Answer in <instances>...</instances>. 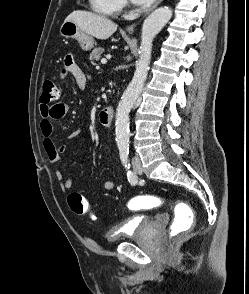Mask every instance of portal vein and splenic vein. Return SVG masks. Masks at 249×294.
Wrapping results in <instances>:
<instances>
[{"instance_id": "obj_1", "label": "portal vein and splenic vein", "mask_w": 249, "mask_h": 294, "mask_svg": "<svg viewBox=\"0 0 249 294\" xmlns=\"http://www.w3.org/2000/svg\"><path fill=\"white\" fill-rule=\"evenodd\" d=\"M106 62H107L106 59H102V60H101V63H102V64H106Z\"/></svg>"}]
</instances>
